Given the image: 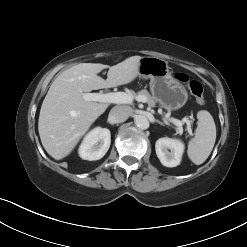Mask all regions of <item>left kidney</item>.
Instances as JSON below:
<instances>
[{
  "label": "left kidney",
  "instance_id": "5707ae66",
  "mask_svg": "<svg viewBox=\"0 0 247 247\" xmlns=\"http://www.w3.org/2000/svg\"><path fill=\"white\" fill-rule=\"evenodd\" d=\"M155 150L162 165L176 167L181 162L184 144L177 139L160 138L156 141Z\"/></svg>",
  "mask_w": 247,
  "mask_h": 247
}]
</instances>
